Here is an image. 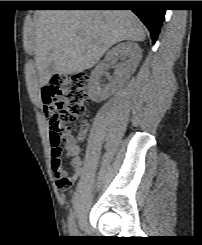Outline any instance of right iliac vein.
I'll return each mask as SVG.
<instances>
[{
  "instance_id": "obj_1",
  "label": "right iliac vein",
  "mask_w": 202,
  "mask_h": 245,
  "mask_svg": "<svg viewBox=\"0 0 202 245\" xmlns=\"http://www.w3.org/2000/svg\"><path fill=\"white\" fill-rule=\"evenodd\" d=\"M80 234H79V232H77V235L76 236H79Z\"/></svg>"
}]
</instances>
